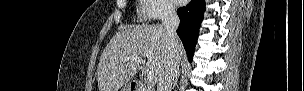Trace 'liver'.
Here are the masks:
<instances>
[{"label": "liver", "mask_w": 304, "mask_h": 91, "mask_svg": "<svg viewBox=\"0 0 304 91\" xmlns=\"http://www.w3.org/2000/svg\"><path fill=\"white\" fill-rule=\"evenodd\" d=\"M124 57L146 58L145 71L158 81L170 59L163 25L120 28L101 54L97 69L99 91H118L137 74L141 64L124 62ZM179 59L185 60L181 42Z\"/></svg>", "instance_id": "liver-1"}]
</instances>
